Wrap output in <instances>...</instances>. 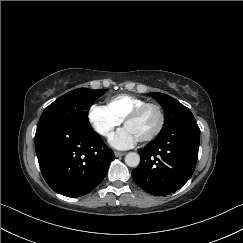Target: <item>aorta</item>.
Returning <instances> with one entry per match:
<instances>
[{
    "label": "aorta",
    "mask_w": 243,
    "mask_h": 243,
    "mask_svg": "<svg viewBox=\"0 0 243 243\" xmlns=\"http://www.w3.org/2000/svg\"><path fill=\"white\" fill-rule=\"evenodd\" d=\"M125 163L130 167H137L140 163V156L135 152H129L125 156Z\"/></svg>",
    "instance_id": "762f6f07"
}]
</instances>
